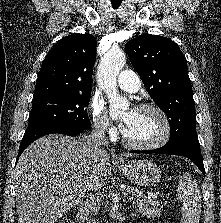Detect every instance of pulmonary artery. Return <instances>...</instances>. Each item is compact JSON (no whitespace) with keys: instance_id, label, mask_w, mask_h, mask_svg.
Wrapping results in <instances>:
<instances>
[{"instance_id":"obj_1","label":"pulmonary artery","mask_w":221,"mask_h":223,"mask_svg":"<svg viewBox=\"0 0 221 223\" xmlns=\"http://www.w3.org/2000/svg\"><path fill=\"white\" fill-rule=\"evenodd\" d=\"M118 86L127 92H136L141 87V80L139 76L130 70L122 71L117 78Z\"/></svg>"}]
</instances>
